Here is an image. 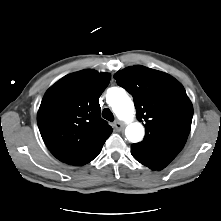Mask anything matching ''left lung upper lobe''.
I'll use <instances>...</instances> for the list:
<instances>
[{
  "instance_id": "left-lung-upper-lobe-1",
  "label": "left lung upper lobe",
  "mask_w": 221,
  "mask_h": 221,
  "mask_svg": "<svg viewBox=\"0 0 221 221\" xmlns=\"http://www.w3.org/2000/svg\"><path fill=\"white\" fill-rule=\"evenodd\" d=\"M114 78L133 96L136 116L145 122V138L136 144L171 162L186 143L193 117L184 87L170 75L141 65L125 68Z\"/></svg>"
}]
</instances>
